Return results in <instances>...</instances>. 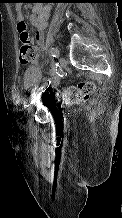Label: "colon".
<instances>
[{"mask_svg": "<svg viewBox=\"0 0 122 218\" xmlns=\"http://www.w3.org/2000/svg\"><path fill=\"white\" fill-rule=\"evenodd\" d=\"M17 31L20 39L19 58L22 64H30L37 59V49L33 47L30 32L25 21L17 23ZM93 82H81L77 86H72L62 91V99L66 103H78L87 101L94 93Z\"/></svg>", "mask_w": 122, "mask_h": 218, "instance_id": "1", "label": "colon"}]
</instances>
